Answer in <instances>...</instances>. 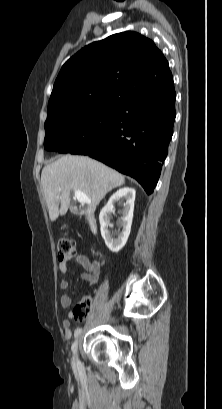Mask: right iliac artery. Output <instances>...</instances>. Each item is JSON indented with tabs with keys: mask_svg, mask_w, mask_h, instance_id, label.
I'll use <instances>...</instances> for the list:
<instances>
[{
	"mask_svg": "<svg viewBox=\"0 0 222 409\" xmlns=\"http://www.w3.org/2000/svg\"><path fill=\"white\" fill-rule=\"evenodd\" d=\"M81 331H82L81 328H78V329L75 330V333H74L75 338H77V337L79 336V334L81 333Z\"/></svg>",
	"mask_w": 222,
	"mask_h": 409,
	"instance_id": "1",
	"label": "right iliac artery"
}]
</instances>
